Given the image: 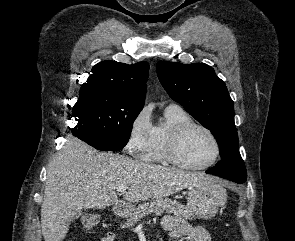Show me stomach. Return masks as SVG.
Returning a JSON list of instances; mask_svg holds the SVG:
<instances>
[{"label":"stomach","instance_id":"1","mask_svg":"<svg viewBox=\"0 0 295 241\" xmlns=\"http://www.w3.org/2000/svg\"><path fill=\"white\" fill-rule=\"evenodd\" d=\"M226 200V189L213 180L190 186L187 194L188 208L203 219L214 217Z\"/></svg>","mask_w":295,"mask_h":241}]
</instances>
